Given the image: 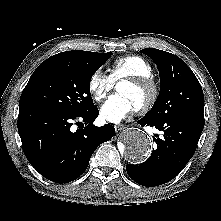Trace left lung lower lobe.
I'll list each match as a JSON object with an SVG mask.
<instances>
[{"mask_svg": "<svg viewBox=\"0 0 221 221\" xmlns=\"http://www.w3.org/2000/svg\"><path fill=\"white\" fill-rule=\"evenodd\" d=\"M141 126L155 127L163 131L164 138H153L157 148L144 163L128 164V175L143 186H158L172 180L195 153L204 122L176 115L161 121L142 118Z\"/></svg>", "mask_w": 221, "mask_h": 221, "instance_id": "1", "label": "left lung lower lobe"}]
</instances>
